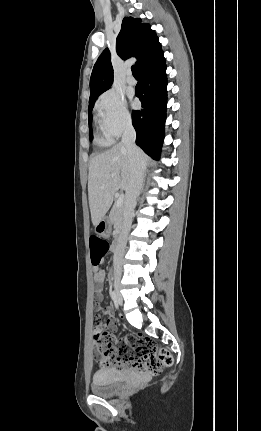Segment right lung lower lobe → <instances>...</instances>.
Returning <instances> with one entry per match:
<instances>
[{
  "mask_svg": "<svg viewBox=\"0 0 261 431\" xmlns=\"http://www.w3.org/2000/svg\"><path fill=\"white\" fill-rule=\"evenodd\" d=\"M140 80L135 95L142 103L141 111H132L136 144L149 156L159 159L164 139L167 104V75L164 52L139 68Z\"/></svg>",
  "mask_w": 261,
  "mask_h": 431,
  "instance_id": "1",
  "label": "right lung lower lobe"
}]
</instances>
